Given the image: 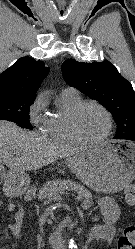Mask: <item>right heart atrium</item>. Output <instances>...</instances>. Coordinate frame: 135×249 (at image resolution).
Masks as SVG:
<instances>
[{
	"instance_id": "d8ad5b80",
	"label": "right heart atrium",
	"mask_w": 135,
	"mask_h": 249,
	"mask_svg": "<svg viewBox=\"0 0 135 249\" xmlns=\"http://www.w3.org/2000/svg\"><path fill=\"white\" fill-rule=\"evenodd\" d=\"M45 107L43 96H38L29 108L30 121L39 129H45L47 118L42 115Z\"/></svg>"
}]
</instances>
